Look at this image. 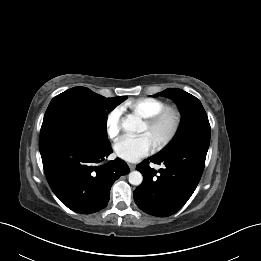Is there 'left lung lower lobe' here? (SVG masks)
I'll use <instances>...</instances> for the list:
<instances>
[{
    "mask_svg": "<svg viewBox=\"0 0 261 261\" xmlns=\"http://www.w3.org/2000/svg\"><path fill=\"white\" fill-rule=\"evenodd\" d=\"M208 147L183 146L151 156L137 165V170L143 175L142 184L134 191L137 206L142 211L159 217L179 211L200 181ZM152 163L163 167L157 171L151 168Z\"/></svg>",
    "mask_w": 261,
    "mask_h": 261,
    "instance_id": "left-lung-lower-lobe-1",
    "label": "left lung lower lobe"
}]
</instances>
